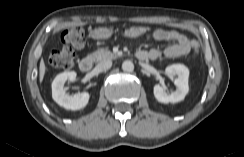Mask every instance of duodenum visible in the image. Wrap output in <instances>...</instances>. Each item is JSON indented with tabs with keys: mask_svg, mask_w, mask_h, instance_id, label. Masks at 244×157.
Instances as JSON below:
<instances>
[{
	"mask_svg": "<svg viewBox=\"0 0 244 157\" xmlns=\"http://www.w3.org/2000/svg\"><path fill=\"white\" fill-rule=\"evenodd\" d=\"M140 57V56H139ZM141 60H146V59H142L141 57L139 58ZM93 66V60L90 57H83L80 61H79V68L82 72H90Z\"/></svg>",
	"mask_w": 244,
	"mask_h": 157,
	"instance_id": "duodenum-1",
	"label": "duodenum"
}]
</instances>
